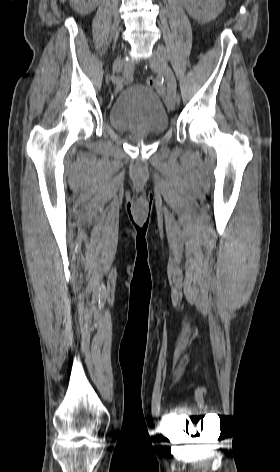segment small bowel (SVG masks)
Instances as JSON below:
<instances>
[{
	"instance_id": "c3829d8e",
	"label": "small bowel",
	"mask_w": 280,
	"mask_h": 472,
	"mask_svg": "<svg viewBox=\"0 0 280 472\" xmlns=\"http://www.w3.org/2000/svg\"><path fill=\"white\" fill-rule=\"evenodd\" d=\"M159 92H160L161 94H163V93H164V90H163L162 88H159Z\"/></svg>"
}]
</instances>
